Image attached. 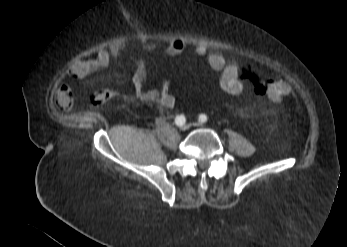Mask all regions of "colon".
<instances>
[{"label": "colon", "mask_w": 347, "mask_h": 247, "mask_svg": "<svg viewBox=\"0 0 347 247\" xmlns=\"http://www.w3.org/2000/svg\"><path fill=\"white\" fill-rule=\"evenodd\" d=\"M259 89L262 91L263 98L270 103L279 102L289 92V87L283 79L277 78L274 74H263L258 81ZM112 97L108 91H97L91 97L94 106L104 104Z\"/></svg>", "instance_id": "5ec220e1"}]
</instances>
